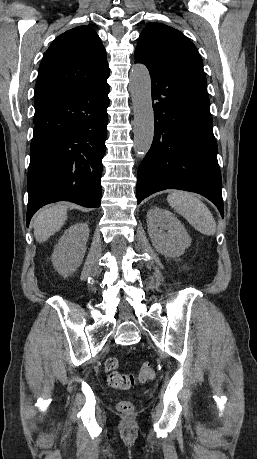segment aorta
I'll list each match as a JSON object with an SVG mask.
<instances>
[{
	"label": "aorta",
	"mask_w": 257,
	"mask_h": 459,
	"mask_svg": "<svg viewBox=\"0 0 257 459\" xmlns=\"http://www.w3.org/2000/svg\"><path fill=\"white\" fill-rule=\"evenodd\" d=\"M129 88L134 111V151L138 158H143L154 136L151 78L145 65L138 63L132 66Z\"/></svg>",
	"instance_id": "aorta-1"
}]
</instances>
